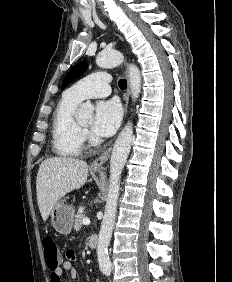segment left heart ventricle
<instances>
[{"mask_svg":"<svg viewBox=\"0 0 232 282\" xmlns=\"http://www.w3.org/2000/svg\"><path fill=\"white\" fill-rule=\"evenodd\" d=\"M80 124H82L83 126L87 127L90 124V121L88 119H82L79 120Z\"/></svg>","mask_w":232,"mask_h":282,"instance_id":"obj_1","label":"left heart ventricle"}]
</instances>
